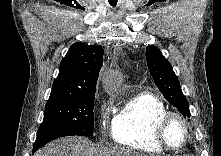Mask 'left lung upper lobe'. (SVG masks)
Segmentation results:
<instances>
[{"label":"left lung upper lobe","mask_w":221,"mask_h":156,"mask_svg":"<svg viewBox=\"0 0 221 156\" xmlns=\"http://www.w3.org/2000/svg\"><path fill=\"white\" fill-rule=\"evenodd\" d=\"M146 60L154 82L166 100L176 107L185 118L190 117L187 99L169 61L155 46L146 48Z\"/></svg>","instance_id":"5c2ea615"}]
</instances>
